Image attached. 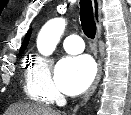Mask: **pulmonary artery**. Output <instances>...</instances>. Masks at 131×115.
<instances>
[{
  "instance_id": "e3ab8cb5",
  "label": "pulmonary artery",
  "mask_w": 131,
  "mask_h": 115,
  "mask_svg": "<svg viewBox=\"0 0 131 115\" xmlns=\"http://www.w3.org/2000/svg\"><path fill=\"white\" fill-rule=\"evenodd\" d=\"M63 46L69 54H78L84 50L83 40L78 35H68L64 39Z\"/></svg>"
}]
</instances>
